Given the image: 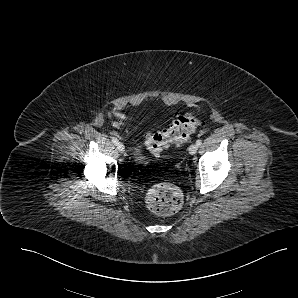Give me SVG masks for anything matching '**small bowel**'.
I'll return each instance as SVG.
<instances>
[{
  "mask_svg": "<svg viewBox=\"0 0 298 298\" xmlns=\"http://www.w3.org/2000/svg\"><path fill=\"white\" fill-rule=\"evenodd\" d=\"M114 116L118 119L117 123H122L125 120V115L120 112H114Z\"/></svg>",
  "mask_w": 298,
  "mask_h": 298,
  "instance_id": "small-bowel-1",
  "label": "small bowel"
}]
</instances>
